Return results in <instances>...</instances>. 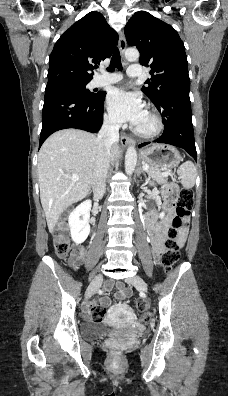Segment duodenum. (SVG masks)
<instances>
[{"mask_svg": "<svg viewBox=\"0 0 228 396\" xmlns=\"http://www.w3.org/2000/svg\"><path fill=\"white\" fill-rule=\"evenodd\" d=\"M145 225L149 236L152 238L159 230L160 225L151 218H145Z\"/></svg>", "mask_w": 228, "mask_h": 396, "instance_id": "obj_1", "label": "duodenum"}]
</instances>
